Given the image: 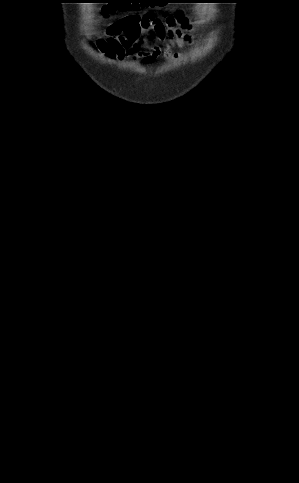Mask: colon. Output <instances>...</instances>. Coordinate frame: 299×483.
<instances>
[{"mask_svg": "<svg viewBox=\"0 0 299 483\" xmlns=\"http://www.w3.org/2000/svg\"><path fill=\"white\" fill-rule=\"evenodd\" d=\"M104 3L106 4H103V7L101 9V13L103 15L113 14L116 11L120 10L121 8L126 9V7H121V6H128V7L130 6L128 1H108Z\"/></svg>", "mask_w": 299, "mask_h": 483, "instance_id": "obj_1", "label": "colon"}]
</instances>
